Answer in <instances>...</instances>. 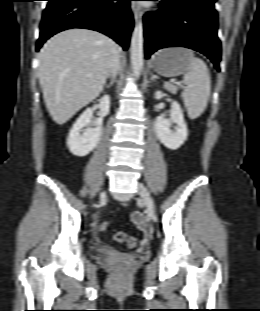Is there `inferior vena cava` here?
Masks as SVG:
<instances>
[{
  "mask_svg": "<svg viewBox=\"0 0 260 311\" xmlns=\"http://www.w3.org/2000/svg\"><path fill=\"white\" fill-rule=\"evenodd\" d=\"M119 48L118 46L116 45V48L114 49L113 51V54L110 58V61H109V73L115 77V75L117 74L118 70H119Z\"/></svg>",
  "mask_w": 260,
  "mask_h": 311,
  "instance_id": "inferior-vena-cava-1",
  "label": "inferior vena cava"
}]
</instances>
